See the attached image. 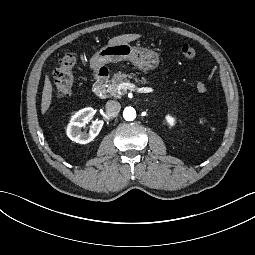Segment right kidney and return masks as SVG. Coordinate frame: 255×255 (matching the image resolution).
<instances>
[{
  "instance_id": "1",
  "label": "right kidney",
  "mask_w": 255,
  "mask_h": 255,
  "mask_svg": "<svg viewBox=\"0 0 255 255\" xmlns=\"http://www.w3.org/2000/svg\"><path fill=\"white\" fill-rule=\"evenodd\" d=\"M93 119L94 110L92 108H86L77 112L74 116H72L67 127L68 138L79 144H87L93 141L103 127V120H96L92 122V128L88 134L81 131V128Z\"/></svg>"
}]
</instances>
